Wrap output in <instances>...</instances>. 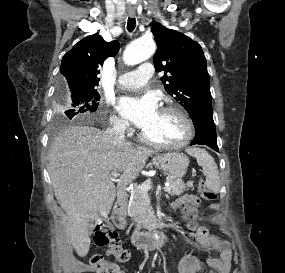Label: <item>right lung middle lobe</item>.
Returning a JSON list of instances; mask_svg holds the SVG:
<instances>
[{
  "label": "right lung middle lobe",
  "mask_w": 285,
  "mask_h": 273,
  "mask_svg": "<svg viewBox=\"0 0 285 273\" xmlns=\"http://www.w3.org/2000/svg\"><path fill=\"white\" fill-rule=\"evenodd\" d=\"M63 84V85H62ZM60 85L57 94L58 114L56 122L78 117L81 113L94 112L98 107L100 95L97 90L68 92L64 83Z\"/></svg>",
  "instance_id": "obj_1"
}]
</instances>
